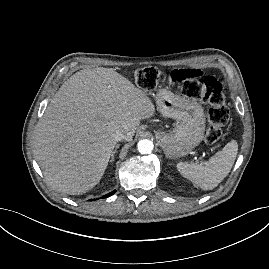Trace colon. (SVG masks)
Here are the masks:
<instances>
[{
    "instance_id": "colon-1",
    "label": "colon",
    "mask_w": 269,
    "mask_h": 269,
    "mask_svg": "<svg viewBox=\"0 0 269 269\" xmlns=\"http://www.w3.org/2000/svg\"><path fill=\"white\" fill-rule=\"evenodd\" d=\"M138 87L151 91L160 83L169 82L168 75L155 67L140 68L135 72ZM172 84V83H170ZM181 92L192 99H199L209 105L205 140L216 143L223 137V127L229 120V109L225 102L222 84L213 76L178 83Z\"/></svg>"
}]
</instances>
